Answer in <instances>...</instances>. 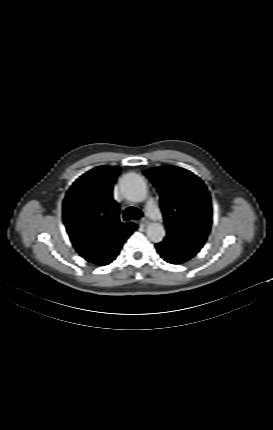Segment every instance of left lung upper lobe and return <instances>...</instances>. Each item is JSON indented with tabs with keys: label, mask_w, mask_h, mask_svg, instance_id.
Wrapping results in <instances>:
<instances>
[{
	"label": "left lung upper lobe",
	"mask_w": 273,
	"mask_h": 430,
	"mask_svg": "<svg viewBox=\"0 0 273 430\" xmlns=\"http://www.w3.org/2000/svg\"><path fill=\"white\" fill-rule=\"evenodd\" d=\"M144 174L160 193L169 251L183 253L187 260L203 247L212 223L210 194L200 178L174 166L151 168Z\"/></svg>",
	"instance_id": "1"
}]
</instances>
